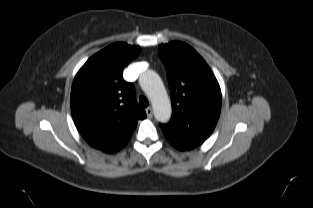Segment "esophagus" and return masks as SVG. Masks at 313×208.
Wrapping results in <instances>:
<instances>
[{
	"label": "esophagus",
	"mask_w": 313,
	"mask_h": 208,
	"mask_svg": "<svg viewBox=\"0 0 313 208\" xmlns=\"http://www.w3.org/2000/svg\"><path fill=\"white\" fill-rule=\"evenodd\" d=\"M146 114H147V117L148 118H152V116H153V110H152V108L151 107H148V108H146Z\"/></svg>",
	"instance_id": "esophagus-1"
}]
</instances>
